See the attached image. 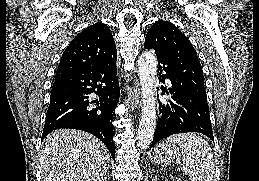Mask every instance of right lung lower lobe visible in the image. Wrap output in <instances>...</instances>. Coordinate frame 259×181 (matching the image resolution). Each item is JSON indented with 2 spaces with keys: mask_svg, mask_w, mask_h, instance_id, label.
Listing matches in <instances>:
<instances>
[{
  "mask_svg": "<svg viewBox=\"0 0 259 181\" xmlns=\"http://www.w3.org/2000/svg\"><path fill=\"white\" fill-rule=\"evenodd\" d=\"M116 74V60H113L97 68L55 78L42 139L60 128L83 130L99 138L114 159L112 122L120 93ZM91 93L99 98L91 100Z\"/></svg>",
  "mask_w": 259,
  "mask_h": 181,
  "instance_id": "98d812e1",
  "label": "right lung lower lobe"
}]
</instances>
